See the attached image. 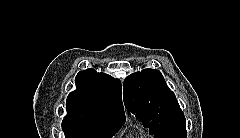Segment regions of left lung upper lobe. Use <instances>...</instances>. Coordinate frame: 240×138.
<instances>
[{
	"mask_svg": "<svg viewBox=\"0 0 240 138\" xmlns=\"http://www.w3.org/2000/svg\"><path fill=\"white\" fill-rule=\"evenodd\" d=\"M123 97L133 113L156 138H187L186 119L175 94L158 70L145 69L124 80Z\"/></svg>",
	"mask_w": 240,
	"mask_h": 138,
	"instance_id": "5c2ea615",
	"label": "left lung upper lobe"
}]
</instances>
